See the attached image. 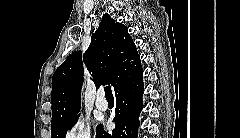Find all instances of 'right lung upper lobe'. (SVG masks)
<instances>
[{
  "label": "right lung upper lobe",
  "mask_w": 240,
  "mask_h": 138,
  "mask_svg": "<svg viewBox=\"0 0 240 138\" xmlns=\"http://www.w3.org/2000/svg\"><path fill=\"white\" fill-rule=\"evenodd\" d=\"M96 87L111 84L114 91L143 73L136 46L123 24L103 15L83 55ZM82 52L72 53L52 77L51 126L66 122L80 111L83 84Z\"/></svg>",
  "instance_id": "1"
}]
</instances>
